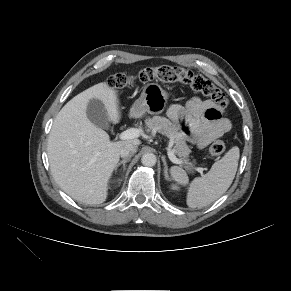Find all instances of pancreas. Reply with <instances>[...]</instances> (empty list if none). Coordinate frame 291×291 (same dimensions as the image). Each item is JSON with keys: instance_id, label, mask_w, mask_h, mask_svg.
<instances>
[{"instance_id": "obj_1", "label": "pancreas", "mask_w": 291, "mask_h": 291, "mask_svg": "<svg viewBox=\"0 0 291 291\" xmlns=\"http://www.w3.org/2000/svg\"><path fill=\"white\" fill-rule=\"evenodd\" d=\"M145 123L150 130L159 132L171 139L174 144L173 153L182 160V164L185 165V168L188 170L193 168V164L187 160L191 150L189 149L184 136L179 131L178 126L170 122L166 117L161 116L148 118Z\"/></svg>"}]
</instances>
